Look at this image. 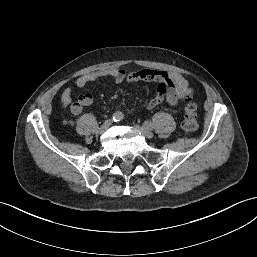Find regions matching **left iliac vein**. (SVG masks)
<instances>
[{
	"label": "left iliac vein",
	"instance_id": "obj_1",
	"mask_svg": "<svg viewBox=\"0 0 257 257\" xmlns=\"http://www.w3.org/2000/svg\"><path fill=\"white\" fill-rule=\"evenodd\" d=\"M135 129L148 139L153 137V133L149 129L141 128L139 125H135Z\"/></svg>",
	"mask_w": 257,
	"mask_h": 257
}]
</instances>
